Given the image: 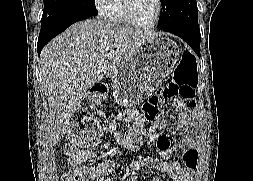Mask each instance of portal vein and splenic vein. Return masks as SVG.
<instances>
[{
	"label": "portal vein and splenic vein",
	"instance_id": "1",
	"mask_svg": "<svg viewBox=\"0 0 253 181\" xmlns=\"http://www.w3.org/2000/svg\"><path fill=\"white\" fill-rule=\"evenodd\" d=\"M114 56H115V54H114L113 52H109V53L106 54V57H107L108 59H113Z\"/></svg>",
	"mask_w": 253,
	"mask_h": 181
}]
</instances>
